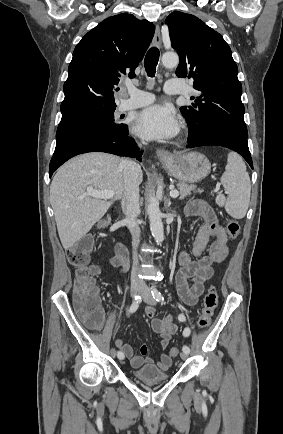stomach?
<instances>
[{"label": "stomach", "instance_id": "stomach-1", "mask_svg": "<svg viewBox=\"0 0 283 434\" xmlns=\"http://www.w3.org/2000/svg\"><path fill=\"white\" fill-rule=\"evenodd\" d=\"M161 162L176 179L184 183L199 182L211 171L209 159L198 152L173 155L168 160L162 159Z\"/></svg>", "mask_w": 283, "mask_h": 434}]
</instances>
